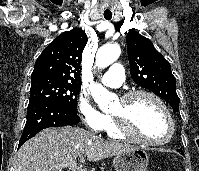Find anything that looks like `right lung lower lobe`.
Returning <instances> with one entry per match:
<instances>
[{"label": "right lung lower lobe", "instance_id": "obj_1", "mask_svg": "<svg viewBox=\"0 0 199 171\" xmlns=\"http://www.w3.org/2000/svg\"><path fill=\"white\" fill-rule=\"evenodd\" d=\"M80 121L76 112L50 99L31 100L27 108V121L18 148L39 131L48 127L73 126Z\"/></svg>", "mask_w": 199, "mask_h": 171}]
</instances>
